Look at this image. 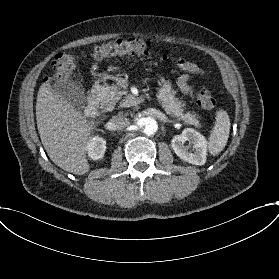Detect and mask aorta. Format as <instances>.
Wrapping results in <instances>:
<instances>
[{
	"instance_id": "aorta-1",
	"label": "aorta",
	"mask_w": 279,
	"mask_h": 279,
	"mask_svg": "<svg viewBox=\"0 0 279 279\" xmlns=\"http://www.w3.org/2000/svg\"><path fill=\"white\" fill-rule=\"evenodd\" d=\"M136 123L138 127L145 133V134H153L158 129V124L155 119L151 117H139L136 119Z\"/></svg>"
}]
</instances>
